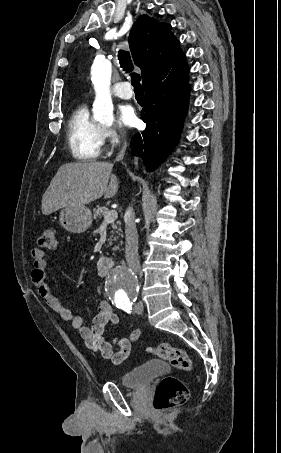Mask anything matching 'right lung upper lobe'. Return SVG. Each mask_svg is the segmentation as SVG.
<instances>
[{
  "label": "right lung upper lobe",
  "instance_id": "right-lung-upper-lobe-1",
  "mask_svg": "<svg viewBox=\"0 0 281 453\" xmlns=\"http://www.w3.org/2000/svg\"><path fill=\"white\" fill-rule=\"evenodd\" d=\"M128 41L134 62L142 70V80L182 52L171 26L147 15L134 23Z\"/></svg>",
  "mask_w": 281,
  "mask_h": 453
}]
</instances>
